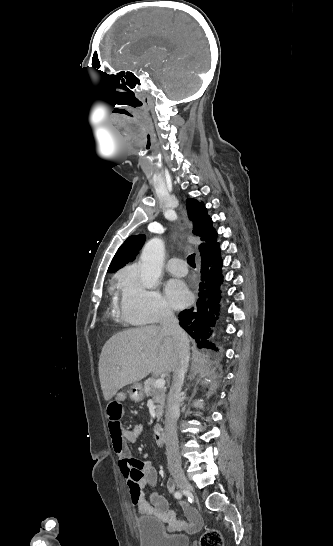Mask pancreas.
<instances>
[{
	"instance_id": "pancreas-1",
	"label": "pancreas",
	"mask_w": 333,
	"mask_h": 546,
	"mask_svg": "<svg viewBox=\"0 0 333 546\" xmlns=\"http://www.w3.org/2000/svg\"><path fill=\"white\" fill-rule=\"evenodd\" d=\"M155 378H148L144 382V393L146 396H151L155 403L156 419L159 421L163 415V408L165 404L166 388H156L154 386Z\"/></svg>"
}]
</instances>
